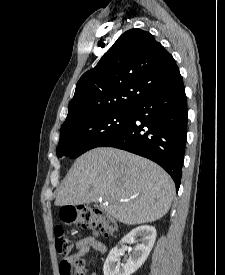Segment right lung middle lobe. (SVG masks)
Listing matches in <instances>:
<instances>
[{
  "mask_svg": "<svg viewBox=\"0 0 225 275\" xmlns=\"http://www.w3.org/2000/svg\"><path fill=\"white\" fill-rule=\"evenodd\" d=\"M131 110L107 111L78 119L61 127L56 148L58 157L77 158L84 152L99 147L119 132L129 121Z\"/></svg>",
  "mask_w": 225,
  "mask_h": 275,
  "instance_id": "right-lung-middle-lobe-1",
  "label": "right lung middle lobe"
}]
</instances>
